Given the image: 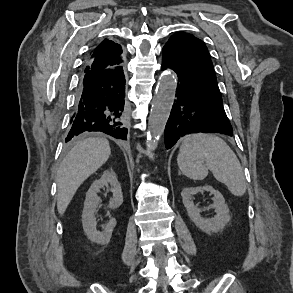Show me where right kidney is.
I'll return each instance as SVG.
<instances>
[{"mask_svg":"<svg viewBox=\"0 0 293 293\" xmlns=\"http://www.w3.org/2000/svg\"><path fill=\"white\" fill-rule=\"evenodd\" d=\"M111 186V192L113 197L111 198L108 207L110 209H116L123 203V195L120 183L117 180V176L113 171L105 172L100 179L95 180L89 188L86 199L84 202V209L82 212V225L88 238L98 244H108L114 227L116 226V220L110 218L102 232L96 228L95 212L99 204V197L97 193L101 188Z\"/></svg>","mask_w":293,"mask_h":293,"instance_id":"obj_1","label":"right kidney"}]
</instances>
